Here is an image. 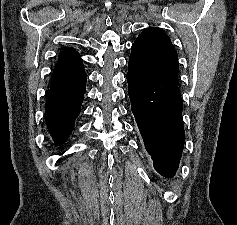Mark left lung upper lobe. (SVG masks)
Returning <instances> with one entry per match:
<instances>
[{
  "label": "left lung upper lobe",
  "instance_id": "5c2ea615",
  "mask_svg": "<svg viewBox=\"0 0 237 225\" xmlns=\"http://www.w3.org/2000/svg\"><path fill=\"white\" fill-rule=\"evenodd\" d=\"M129 72L152 87H177L178 56L169 36L156 27L144 30L132 45Z\"/></svg>",
  "mask_w": 237,
  "mask_h": 225
}]
</instances>
